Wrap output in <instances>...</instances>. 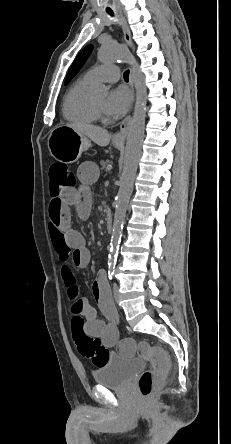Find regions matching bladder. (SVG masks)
<instances>
[{
  "mask_svg": "<svg viewBox=\"0 0 231 444\" xmlns=\"http://www.w3.org/2000/svg\"><path fill=\"white\" fill-rule=\"evenodd\" d=\"M143 368L144 364L140 359H126L112 352L106 362L93 372V377L100 386L122 388Z\"/></svg>",
  "mask_w": 231,
  "mask_h": 444,
  "instance_id": "1",
  "label": "bladder"
}]
</instances>
